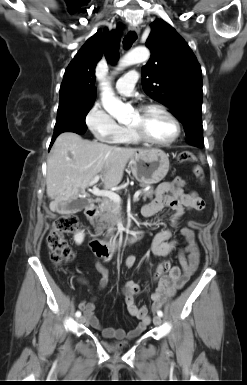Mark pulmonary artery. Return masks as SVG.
<instances>
[{
    "label": "pulmonary artery",
    "instance_id": "obj_1",
    "mask_svg": "<svg viewBox=\"0 0 247 385\" xmlns=\"http://www.w3.org/2000/svg\"><path fill=\"white\" fill-rule=\"evenodd\" d=\"M139 77L137 71H128L116 82L117 92L122 96H131L134 92V86Z\"/></svg>",
    "mask_w": 247,
    "mask_h": 385
}]
</instances>
